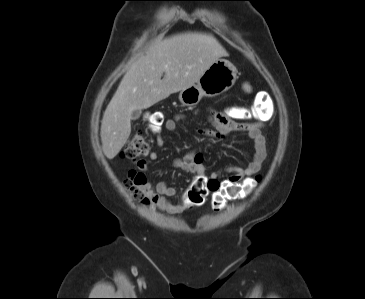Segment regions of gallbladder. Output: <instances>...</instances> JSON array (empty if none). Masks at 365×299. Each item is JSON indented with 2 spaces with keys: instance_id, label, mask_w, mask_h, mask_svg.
Segmentation results:
<instances>
[{
  "instance_id": "obj_1",
  "label": "gallbladder",
  "mask_w": 365,
  "mask_h": 299,
  "mask_svg": "<svg viewBox=\"0 0 365 299\" xmlns=\"http://www.w3.org/2000/svg\"><path fill=\"white\" fill-rule=\"evenodd\" d=\"M141 115V110H135L131 114V120H137Z\"/></svg>"
}]
</instances>
